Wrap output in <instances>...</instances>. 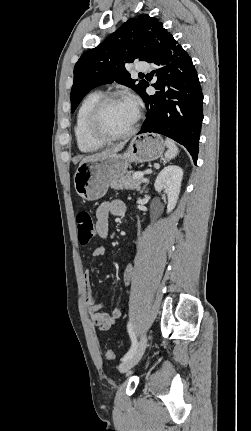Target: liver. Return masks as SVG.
I'll use <instances>...</instances> for the list:
<instances>
[{
  "label": "liver",
  "mask_w": 251,
  "mask_h": 431,
  "mask_svg": "<svg viewBox=\"0 0 251 431\" xmlns=\"http://www.w3.org/2000/svg\"><path fill=\"white\" fill-rule=\"evenodd\" d=\"M125 144H126V142H121V143H119V144H117V145H115V146H113V147H111L109 149L101 151L100 153H96V154L87 156V157H85L81 161V163H84V162H87V161H94V160L99 159L101 157L117 153V152L121 151L124 148Z\"/></svg>",
  "instance_id": "1"
}]
</instances>
